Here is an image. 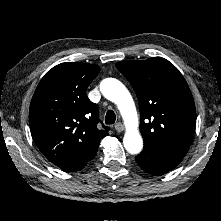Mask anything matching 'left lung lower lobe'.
Here are the masks:
<instances>
[{
  "label": "left lung lower lobe",
  "instance_id": "obj_1",
  "mask_svg": "<svg viewBox=\"0 0 221 221\" xmlns=\"http://www.w3.org/2000/svg\"><path fill=\"white\" fill-rule=\"evenodd\" d=\"M184 156L168 153L150 145H144L143 151L135 157L137 164L147 173L163 175L174 169Z\"/></svg>",
  "mask_w": 221,
  "mask_h": 221
}]
</instances>
